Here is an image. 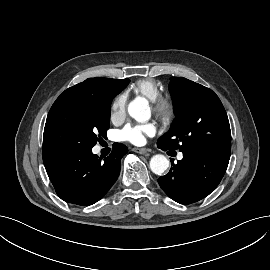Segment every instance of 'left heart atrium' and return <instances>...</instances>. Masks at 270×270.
<instances>
[{"instance_id": "1", "label": "left heart atrium", "mask_w": 270, "mask_h": 270, "mask_svg": "<svg viewBox=\"0 0 270 270\" xmlns=\"http://www.w3.org/2000/svg\"><path fill=\"white\" fill-rule=\"evenodd\" d=\"M157 126L153 122L144 124L128 125L121 131V137L133 144H142L145 136H152L156 133Z\"/></svg>"}]
</instances>
